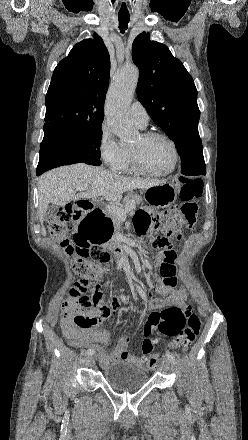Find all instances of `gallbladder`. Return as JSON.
I'll return each instance as SVG.
<instances>
[{
    "instance_id": "obj_1",
    "label": "gallbladder",
    "mask_w": 248,
    "mask_h": 440,
    "mask_svg": "<svg viewBox=\"0 0 248 440\" xmlns=\"http://www.w3.org/2000/svg\"><path fill=\"white\" fill-rule=\"evenodd\" d=\"M56 208L57 207L55 205H49L47 207V210H46V213H45V216H44V220L45 221H48V220H50L53 217V215H54V213L56 211Z\"/></svg>"
}]
</instances>
